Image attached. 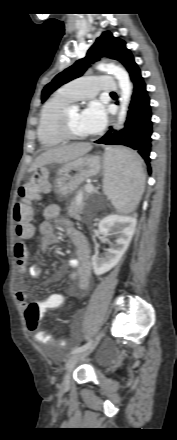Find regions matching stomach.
Returning a JSON list of instances; mask_svg holds the SVG:
<instances>
[{"label":"stomach","instance_id":"1","mask_svg":"<svg viewBox=\"0 0 177 440\" xmlns=\"http://www.w3.org/2000/svg\"><path fill=\"white\" fill-rule=\"evenodd\" d=\"M112 160V150L107 151L104 156L103 166L107 161ZM102 168L99 157L85 155L72 160L61 166L55 179V193L61 197L71 195L86 180L95 176ZM36 169L34 175L38 174Z\"/></svg>","mask_w":177,"mask_h":440}]
</instances>
